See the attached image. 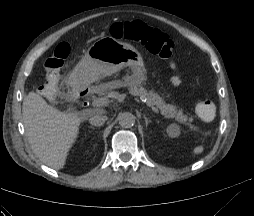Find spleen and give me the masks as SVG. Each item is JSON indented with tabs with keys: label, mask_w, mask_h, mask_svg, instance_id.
Wrapping results in <instances>:
<instances>
[{
	"label": "spleen",
	"mask_w": 254,
	"mask_h": 216,
	"mask_svg": "<svg viewBox=\"0 0 254 216\" xmlns=\"http://www.w3.org/2000/svg\"><path fill=\"white\" fill-rule=\"evenodd\" d=\"M203 151H204V147H203L202 145H199V146H196V147L193 149V154H194V155H199V154H201Z\"/></svg>",
	"instance_id": "obj_1"
}]
</instances>
